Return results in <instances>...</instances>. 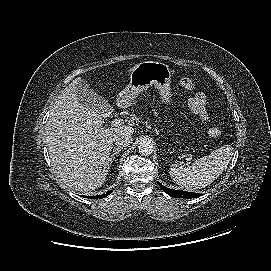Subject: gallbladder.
I'll use <instances>...</instances> for the list:
<instances>
[{
  "mask_svg": "<svg viewBox=\"0 0 271 271\" xmlns=\"http://www.w3.org/2000/svg\"><path fill=\"white\" fill-rule=\"evenodd\" d=\"M76 95L78 101L92 111H96L103 116H108L112 112V107L108 101L90 89L85 81L78 82Z\"/></svg>",
  "mask_w": 271,
  "mask_h": 271,
  "instance_id": "bac80fb5",
  "label": "gallbladder"
}]
</instances>
